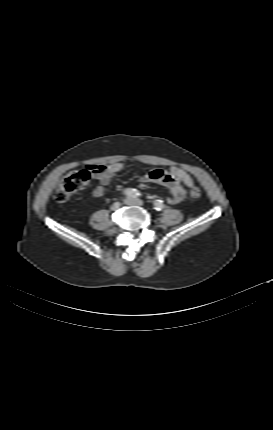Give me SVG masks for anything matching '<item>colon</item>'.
<instances>
[{"label":"colon","mask_w":273,"mask_h":430,"mask_svg":"<svg viewBox=\"0 0 273 430\" xmlns=\"http://www.w3.org/2000/svg\"><path fill=\"white\" fill-rule=\"evenodd\" d=\"M90 178L91 175L86 173L85 170L74 171L67 174L62 179L55 192L56 201L65 202L69 200L74 194L85 189L89 185ZM201 194L199 188H192L190 191V196L192 198H199Z\"/></svg>","instance_id":"obj_1"}]
</instances>
